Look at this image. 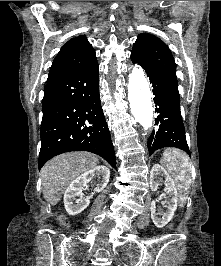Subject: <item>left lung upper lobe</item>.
Wrapping results in <instances>:
<instances>
[{
  "mask_svg": "<svg viewBox=\"0 0 221 266\" xmlns=\"http://www.w3.org/2000/svg\"><path fill=\"white\" fill-rule=\"evenodd\" d=\"M131 58L146 72L176 77V63L170 49L154 35L140 34L133 45Z\"/></svg>",
  "mask_w": 221,
  "mask_h": 266,
  "instance_id": "5c2ea615",
  "label": "left lung upper lobe"
}]
</instances>
